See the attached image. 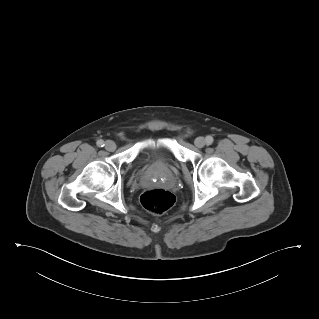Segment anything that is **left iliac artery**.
Masks as SVG:
<instances>
[{"label": "left iliac artery", "instance_id": "44dca946", "mask_svg": "<svg viewBox=\"0 0 319 319\" xmlns=\"http://www.w3.org/2000/svg\"><path fill=\"white\" fill-rule=\"evenodd\" d=\"M206 143H207L208 145L212 144V143H213V137H212V136H207V137H206Z\"/></svg>", "mask_w": 319, "mask_h": 319}]
</instances>
